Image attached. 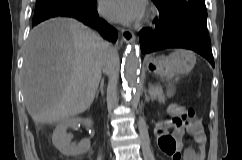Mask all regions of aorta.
<instances>
[{"mask_svg":"<svg viewBox=\"0 0 242 160\" xmlns=\"http://www.w3.org/2000/svg\"><path fill=\"white\" fill-rule=\"evenodd\" d=\"M139 46L135 40L128 46L122 62V78L130 87L135 88L140 74Z\"/></svg>","mask_w":242,"mask_h":160,"instance_id":"obj_1","label":"aorta"}]
</instances>
